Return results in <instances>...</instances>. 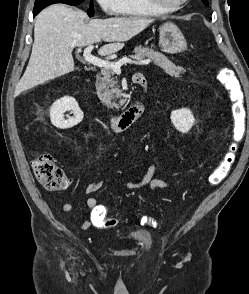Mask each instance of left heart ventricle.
<instances>
[{
  "label": "left heart ventricle",
  "mask_w": 249,
  "mask_h": 294,
  "mask_svg": "<svg viewBox=\"0 0 249 294\" xmlns=\"http://www.w3.org/2000/svg\"><path fill=\"white\" fill-rule=\"evenodd\" d=\"M166 6H175L180 4L183 0H160Z\"/></svg>",
  "instance_id": "1"
}]
</instances>
